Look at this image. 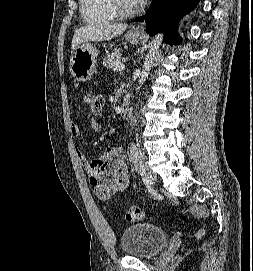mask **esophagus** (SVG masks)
I'll list each match as a JSON object with an SVG mask.
<instances>
[{
  "mask_svg": "<svg viewBox=\"0 0 253 271\" xmlns=\"http://www.w3.org/2000/svg\"><path fill=\"white\" fill-rule=\"evenodd\" d=\"M144 31H145V28H144V26L142 25V24H138L136 27H135V32H137V33H144Z\"/></svg>",
  "mask_w": 253,
  "mask_h": 271,
  "instance_id": "obj_1",
  "label": "esophagus"
}]
</instances>
